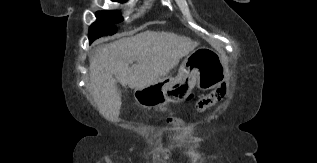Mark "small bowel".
<instances>
[{
	"label": "small bowel",
	"mask_w": 317,
	"mask_h": 163,
	"mask_svg": "<svg viewBox=\"0 0 317 163\" xmlns=\"http://www.w3.org/2000/svg\"><path fill=\"white\" fill-rule=\"evenodd\" d=\"M167 123L172 127V129L177 132V131H181L184 126L176 119L170 118L167 120ZM181 147H185L187 145H189V143L184 140L183 138L179 141L178 143ZM171 156V152L169 149H164L163 151H161V153L158 156V162L160 163H166Z\"/></svg>",
	"instance_id": "obj_1"
}]
</instances>
